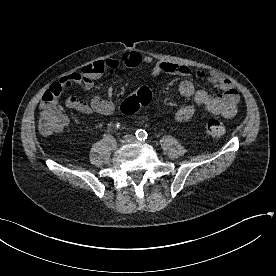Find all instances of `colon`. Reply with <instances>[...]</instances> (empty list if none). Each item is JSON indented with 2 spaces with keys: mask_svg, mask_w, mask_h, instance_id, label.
I'll list each match as a JSON object with an SVG mask.
<instances>
[{
  "mask_svg": "<svg viewBox=\"0 0 276 276\" xmlns=\"http://www.w3.org/2000/svg\"><path fill=\"white\" fill-rule=\"evenodd\" d=\"M64 87L55 83L49 89L45 102L40 104L39 129L44 135L58 133L67 124V118L60 109L57 99L63 92ZM152 88L149 85L139 87L132 95L125 98L121 104V111L131 115L141 107L146 106L152 99ZM205 132L213 137H220L226 131L225 123L217 118H211L205 123Z\"/></svg>",
  "mask_w": 276,
  "mask_h": 276,
  "instance_id": "obj_1",
  "label": "colon"
}]
</instances>
